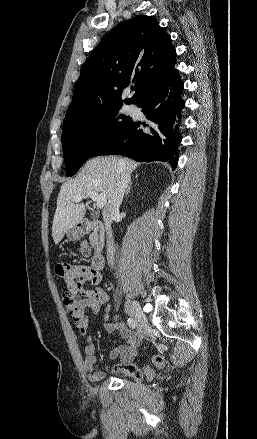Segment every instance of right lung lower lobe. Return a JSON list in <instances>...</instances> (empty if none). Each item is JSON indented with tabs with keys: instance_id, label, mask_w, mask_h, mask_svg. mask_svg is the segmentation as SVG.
Returning <instances> with one entry per match:
<instances>
[{
	"instance_id": "98d812e1",
	"label": "right lung lower lobe",
	"mask_w": 257,
	"mask_h": 439,
	"mask_svg": "<svg viewBox=\"0 0 257 439\" xmlns=\"http://www.w3.org/2000/svg\"><path fill=\"white\" fill-rule=\"evenodd\" d=\"M183 82L175 69L158 81L137 104L148 123L131 120L120 132L99 145L90 157L122 155L136 161H166L175 169L181 142Z\"/></svg>"
}]
</instances>
